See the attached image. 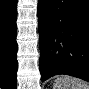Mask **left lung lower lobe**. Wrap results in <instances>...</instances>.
<instances>
[{
    "mask_svg": "<svg viewBox=\"0 0 89 89\" xmlns=\"http://www.w3.org/2000/svg\"><path fill=\"white\" fill-rule=\"evenodd\" d=\"M41 80L71 75L89 81V0H39Z\"/></svg>",
    "mask_w": 89,
    "mask_h": 89,
    "instance_id": "left-lung-lower-lobe-1",
    "label": "left lung lower lobe"
}]
</instances>
